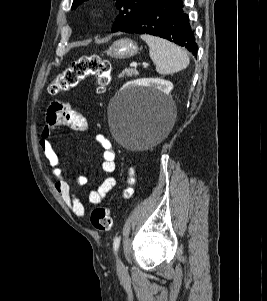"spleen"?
<instances>
[{
  "label": "spleen",
  "instance_id": "spleen-1",
  "mask_svg": "<svg viewBox=\"0 0 267 301\" xmlns=\"http://www.w3.org/2000/svg\"><path fill=\"white\" fill-rule=\"evenodd\" d=\"M141 39L148 44L150 58L159 74H173L189 65L187 53L174 43L151 35H141Z\"/></svg>",
  "mask_w": 267,
  "mask_h": 301
}]
</instances>
